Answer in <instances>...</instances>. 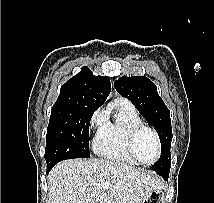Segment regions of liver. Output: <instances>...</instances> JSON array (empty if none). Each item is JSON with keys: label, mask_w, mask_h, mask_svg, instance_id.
I'll return each instance as SVG.
<instances>
[{"label": "liver", "mask_w": 214, "mask_h": 203, "mask_svg": "<svg viewBox=\"0 0 214 203\" xmlns=\"http://www.w3.org/2000/svg\"><path fill=\"white\" fill-rule=\"evenodd\" d=\"M110 183V190L103 183ZM164 184L155 174L121 162L74 159L58 163L48 176V203H142Z\"/></svg>", "instance_id": "obj_1"}]
</instances>
